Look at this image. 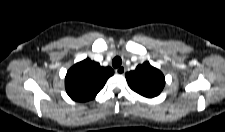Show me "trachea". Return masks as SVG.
<instances>
[{"mask_svg": "<svg viewBox=\"0 0 225 132\" xmlns=\"http://www.w3.org/2000/svg\"><path fill=\"white\" fill-rule=\"evenodd\" d=\"M122 64V60L119 56H116L113 60H112V66L114 68H118L120 65Z\"/></svg>", "mask_w": 225, "mask_h": 132, "instance_id": "obj_1", "label": "trachea"}]
</instances>
